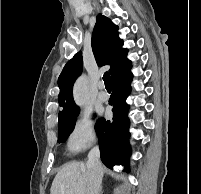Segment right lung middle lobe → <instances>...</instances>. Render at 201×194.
<instances>
[{
  "label": "right lung middle lobe",
  "instance_id": "right-lung-middle-lobe-1",
  "mask_svg": "<svg viewBox=\"0 0 201 194\" xmlns=\"http://www.w3.org/2000/svg\"><path fill=\"white\" fill-rule=\"evenodd\" d=\"M79 114V110L74 112L73 114L58 119V124H59V137H58V142L63 143L66 141L67 137L70 135V133L73 131L75 122H76V117Z\"/></svg>",
  "mask_w": 201,
  "mask_h": 194
}]
</instances>
